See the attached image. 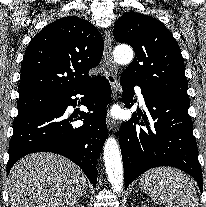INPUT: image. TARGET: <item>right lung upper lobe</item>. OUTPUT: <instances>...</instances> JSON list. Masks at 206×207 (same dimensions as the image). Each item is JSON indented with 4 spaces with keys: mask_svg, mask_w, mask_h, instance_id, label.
Masks as SVG:
<instances>
[{
    "mask_svg": "<svg viewBox=\"0 0 206 207\" xmlns=\"http://www.w3.org/2000/svg\"><path fill=\"white\" fill-rule=\"evenodd\" d=\"M97 28L71 16L44 27L29 43L21 66L20 97L59 94L88 83L103 54ZM96 78V77H95Z\"/></svg>",
    "mask_w": 206,
    "mask_h": 207,
    "instance_id": "right-lung-upper-lobe-1",
    "label": "right lung upper lobe"
}]
</instances>
